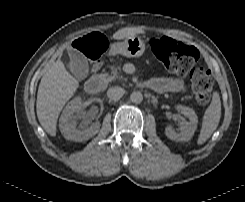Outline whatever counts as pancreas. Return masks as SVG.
<instances>
[{
	"mask_svg": "<svg viewBox=\"0 0 245 202\" xmlns=\"http://www.w3.org/2000/svg\"><path fill=\"white\" fill-rule=\"evenodd\" d=\"M121 67L118 66L117 68L115 67H112L111 69V74L108 75V77L106 78V82H112V81H115V80H123V76L121 75V71H120Z\"/></svg>",
	"mask_w": 245,
	"mask_h": 202,
	"instance_id": "pancreas-1",
	"label": "pancreas"
}]
</instances>
